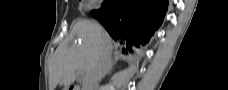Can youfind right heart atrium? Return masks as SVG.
I'll list each match as a JSON object with an SVG mask.
<instances>
[{"instance_id": "1", "label": "right heart atrium", "mask_w": 228, "mask_h": 90, "mask_svg": "<svg viewBox=\"0 0 228 90\" xmlns=\"http://www.w3.org/2000/svg\"><path fill=\"white\" fill-rule=\"evenodd\" d=\"M87 4L93 8L99 6L100 1H88Z\"/></svg>"}]
</instances>
